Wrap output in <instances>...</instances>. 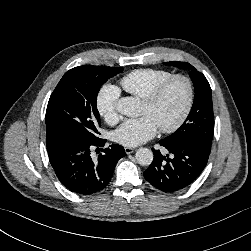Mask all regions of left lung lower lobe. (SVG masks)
Returning a JSON list of instances; mask_svg holds the SVG:
<instances>
[{
	"instance_id": "obj_1",
	"label": "left lung lower lobe",
	"mask_w": 251,
	"mask_h": 251,
	"mask_svg": "<svg viewBox=\"0 0 251 251\" xmlns=\"http://www.w3.org/2000/svg\"><path fill=\"white\" fill-rule=\"evenodd\" d=\"M172 154L163 156L153 149L154 159L144 172L145 179L155 188L173 193L191 185L205 168L211 147L198 140H183L176 143L159 141Z\"/></svg>"
}]
</instances>
